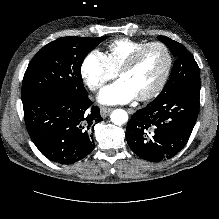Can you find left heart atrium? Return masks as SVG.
Masks as SVG:
<instances>
[{
    "mask_svg": "<svg viewBox=\"0 0 219 219\" xmlns=\"http://www.w3.org/2000/svg\"><path fill=\"white\" fill-rule=\"evenodd\" d=\"M134 98H136V93L123 79L103 88L98 96L99 101L107 105L125 104Z\"/></svg>",
    "mask_w": 219,
    "mask_h": 219,
    "instance_id": "39dd6f15",
    "label": "left heart atrium"
}]
</instances>
